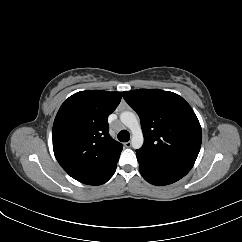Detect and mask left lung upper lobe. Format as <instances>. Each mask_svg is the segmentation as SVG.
Wrapping results in <instances>:
<instances>
[{"label":"left lung upper lobe","mask_w":242,"mask_h":242,"mask_svg":"<svg viewBox=\"0 0 242 242\" xmlns=\"http://www.w3.org/2000/svg\"><path fill=\"white\" fill-rule=\"evenodd\" d=\"M141 119L144 144L137 150L149 159L190 171L202 142L200 123L178 94L159 89L123 92Z\"/></svg>","instance_id":"5c2ea615"}]
</instances>
